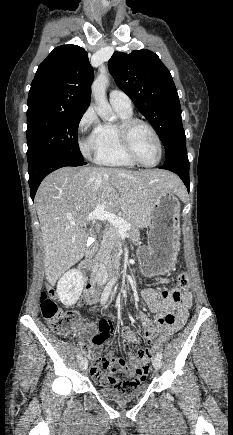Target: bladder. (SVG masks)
I'll return each instance as SVG.
<instances>
[{
	"mask_svg": "<svg viewBox=\"0 0 233 435\" xmlns=\"http://www.w3.org/2000/svg\"><path fill=\"white\" fill-rule=\"evenodd\" d=\"M147 389L145 384H140L136 386L130 392H124L120 390L118 387L108 384L98 385V391L107 397L110 400L114 401H126L130 399H134L140 395H142Z\"/></svg>",
	"mask_w": 233,
	"mask_h": 435,
	"instance_id": "obj_1",
	"label": "bladder"
}]
</instances>
